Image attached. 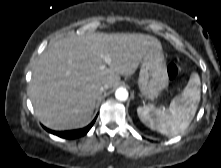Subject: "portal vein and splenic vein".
I'll return each mask as SVG.
<instances>
[{"label": "portal vein and splenic vein", "instance_id": "portal-vein-and-splenic-vein-1", "mask_svg": "<svg viewBox=\"0 0 221 168\" xmlns=\"http://www.w3.org/2000/svg\"><path fill=\"white\" fill-rule=\"evenodd\" d=\"M101 57L104 59L105 61V65L100 66L101 69H105L106 65H110L111 64V57L109 54H103L101 55Z\"/></svg>", "mask_w": 221, "mask_h": 168}]
</instances>
